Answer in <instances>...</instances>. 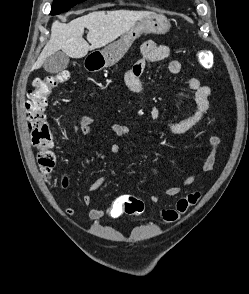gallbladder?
<instances>
[{"instance_id": "bac80fb5", "label": "gallbladder", "mask_w": 249, "mask_h": 294, "mask_svg": "<svg viewBox=\"0 0 249 294\" xmlns=\"http://www.w3.org/2000/svg\"><path fill=\"white\" fill-rule=\"evenodd\" d=\"M69 56L63 51H57L44 60L43 68L49 73H60L68 67Z\"/></svg>"}]
</instances>
